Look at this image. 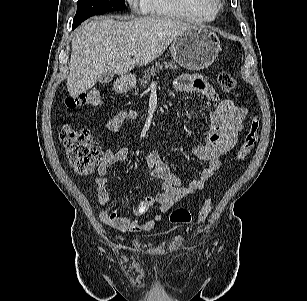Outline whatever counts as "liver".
I'll list each match as a JSON object with an SVG mask.
<instances>
[{"mask_svg":"<svg viewBox=\"0 0 307 301\" xmlns=\"http://www.w3.org/2000/svg\"><path fill=\"white\" fill-rule=\"evenodd\" d=\"M191 24L160 16L88 22L74 33L67 89L76 98L105 72L123 76L159 57ZM137 54L131 58L130 52Z\"/></svg>","mask_w":307,"mask_h":301,"instance_id":"6515ba94","label":"liver"}]
</instances>
